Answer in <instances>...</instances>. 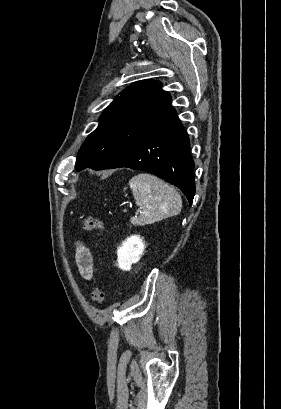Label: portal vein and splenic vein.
I'll return each mask as SVG.
<instances>
[{
    "label": "portal vein and splenic vein",
    "instance_id": "18ae733b",
    "mask_svg": "<svg viewBox=\"0 0 281 409\" xmlns=\"http://www.w3.org/2000/svg\"><path fill=\"white\" fill-rule=\"evenodd\" d=\"M123 213H124V214H127V213H128V210H127V209H124V210H123ZM138 213H139V214H143V213H144V210H143V209H139V210H138Z\"/></svg>",
    "mask_w": 281,
    "mask_h": 409
}]
</instances>
